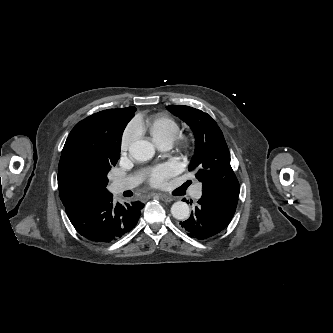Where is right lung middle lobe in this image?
<instances>
[{
    "instance_id": "dd1d6c3e",
    "label": "right lung middle lobe",
    "mask_w": 333,
    "mask_h": 333,
    "mask_svg": "<svg viewBox=\"0 0 333 333\" xmlns=\"http://www.w3.org/2000/svg\"><path fill=\"white\" fill-rule=\"evenodd\" d=\"M135 107L95 113L75 126L66 140L60 163L67 174L103 197L108 172L120 158L121 138Z\"/></svg>"
}]
</instances>
